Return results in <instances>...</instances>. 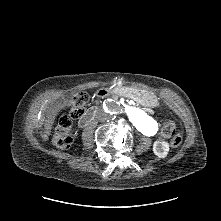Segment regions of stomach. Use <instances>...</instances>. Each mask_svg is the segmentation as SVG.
Instances as JSON below:
<instances>
[{
    "label": "stomach",
    "instance_id": "1",
    "mask_svg": "<svg viewBox=\"0 0 221 221\" xmlns=\"http://www.w3.org/2000/svg\"><path fill=\"white\" fill-rule=\"evenodd\" d=\"M124 92L127 95L135 97L138 101L145 103L146 105L155 100V95L151 92L136 89V88H125Z\"/></svg>",
    "mask_w": 221,
    "mask_h": 221
}]
</instances>
